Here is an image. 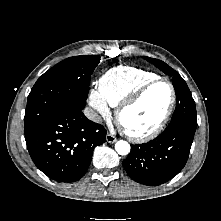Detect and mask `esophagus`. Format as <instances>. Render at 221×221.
<instances>
[{
	"label": "esophagus",
	"mask_w": 221,
	"mask_h": 221,
	"mask_svg": "<svg viewBox=\"0 0 221 221\" xmlns=\"http://www.w3.org/2000/svg\"><path fill=\"white\" fill-rule=\"evenodd\" d=\"M106 141H107L108 143H114V142L117 141V138H116L114 135L108 133V134L106 135Z\"/></svg>",
	"instance_id": "34e87169"
}]
</instances>
